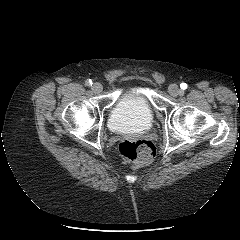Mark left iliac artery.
<instances>
[{
    "mask_svg": "<svg viewBox=\"0 0 240 240\" xmlns=\"http://www.w3.org/2000/svg\"><path fill=\"white\" fill-rule=\"evenodd\" d=\"M180 88H181L182 90H185V89L187 88V85H186L185 83H182V84L180 85Z\"/></svg>",
    "mask_w": 240,
    "mask_h": 240,
    "instance_id": "obj_1",
    "label": "left iliac artery"
}]
</instances>
